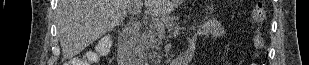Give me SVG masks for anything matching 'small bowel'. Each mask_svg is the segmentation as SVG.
<instances>
[{"instance_id":"small-bowel-1","label":"small bowel","mask_w":309,"mask_h":65,"mask_svg":"<svg viewBox=\"0 0 309 65\" xmlns=\"http://www.w3.org/2000/svg\"><path fill=\"white\" fill-rule=\"evenodd\" d=\"M199 34H212L217 37H223L225 35V31L223 27L219 24L216 19L207 20L199 29ZM190 47H193V43L189 44Z\"/></svg>"}]
</instances>
